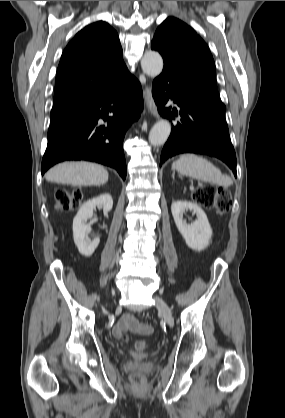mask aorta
<instances>
[{
	"instance_id": "762f6f07",
	"label": "aorta",
	"mask_w": 285,
	"mask_h": 418,
	"mask_svg": "<svg viewBox=\"0 0 285 418\" xmlns=\"http://www.w3.org/2000/svg\"><path fill=\"white\" fill-rule=\"evenodd\" d=\"M141 67L145 74L150 77H157L163 69V59L158 52L147 51L142 60ZM171 132V124L167 120L158 121L149 133V142L153 146L163 145Z\"/></svg>"
}]
</instances>
